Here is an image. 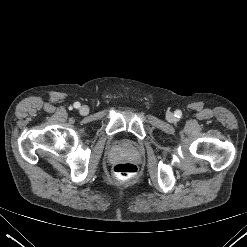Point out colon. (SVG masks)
<instances>
[{"label":"colon","instance_id":"1","mask_svg":"<svg viewBox=\"0 0 247 247\" xmlns=\"http://www.w3.org/2000/svg\"><path fill=\"white\" fill-rule=\"evenodd\" d=\"M113 172L116 178L126 181L135 177L137 174V167L130 162H122L114 166Z\"/></svg>","mask_w":247,"mask_h":247}]
</instances>
